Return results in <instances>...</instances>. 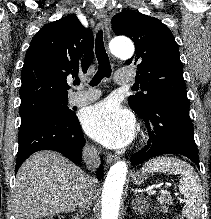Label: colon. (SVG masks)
Here are the masks:
<instances>
[{
    "instance_id": "1",
    "label": "colon",
    "mask_w": 211,
    "mask_h": 219,
    "mask_svg": "<svg viewBox=\"0 0 211 219\" xmlns=\"http://www.w3.org/2000/svg\"><path fill=\"white\" fill-rule=\"evenodd\" d=\"M43 219H63V217H61V216H54V217H45V218H43ZM176 219H183V218L178 217V218H176Z\"/></svg>"
}]
</instances>
